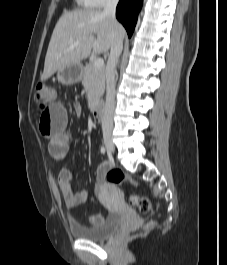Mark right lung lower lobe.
Returning a JSON list of instances; mask_svg holds the SVG:
<instances>
[{"mask_svg": "<svg viewBox=\"0 0 227 265\" xmlns=\"http://www.w3.org/2000/svg\"><path fill=\"white\" fill-rule=\"evenodd\" d=\"M143 0H120L116 8V17L131 37Z\"/></svg>", "mask_w": 227, "mask_h": 265, "instance_id": "right-lung-lower-lobe-1", "label": "right lung lower lobe"}]
</instances>
